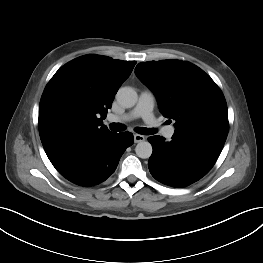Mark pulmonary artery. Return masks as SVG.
I'll return each instance as SVG.
<instances>
[{"mask_svg": "<svg viewBox=\"0 0 263 263\" xmlns=\"http://www.w3.org/2000/svg\"><path fill=\"white\" fill-rule=\"evenodd\" d=\"M154 108V96L149 91H144L140 94L138 103L129 113L117 116L110 115L109 120L121 122V121H130L136 118H142L144 122L150 126H158V120L153 114ZM175 133L174 126H166L162 129V134L166 138H171Z\"/></svg>", "mask_w": 263, "mask_h": 263, "instance_id": "1", "label": "pulmonary artery"}]
</instances>
